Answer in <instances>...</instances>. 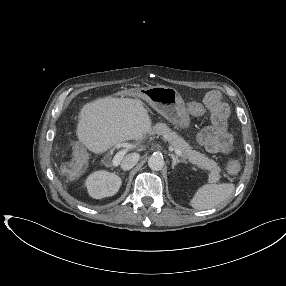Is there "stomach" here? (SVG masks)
Here are the masks:
<instances>
[{"label": "stomach", "instance_id": "1", "mask_svg": "<svg viewBox=\"0 0 286 286\" xmlns=\"http://www.w3.org/2000/svg\"><path fill=\"white\" fill-rule=\"evenodd\" d=\"M138 96L175 126L187 129L190 126L189 112L180 93L167 86L140 88Z\"/></svg>", "mask_w": 286, "mask_h": 286}]
</instances>
